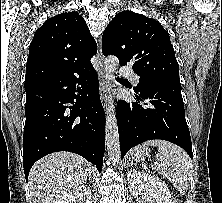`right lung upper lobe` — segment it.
<instances>
[{
	"label": "right lung upper lobe",
	"mask_w": 222,
	"mask_h": 203,
	"mask_svg": "<svg viewBox=\"0 0 222 203\" xmlns=\"http://www.w3.org/2000/svg\"><path fill=\"white\" fill-rule=\"evenodd\" d=\"M97 45L83 17L66 12L48 19L34 34L26 64L25 89L57 77L90 70Z\"/></svg>",
	"instance_id": "obj_1"
}]
</instances>
